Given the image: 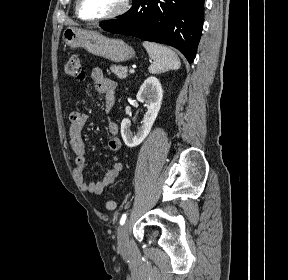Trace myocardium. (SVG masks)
I'll use <instances>...</instances> for the list:
<instances>
[{"label": "myocardium", "instance_id": "obj_1", "mask_svg": "<svg viewBox=\"0 0 288 280\" xmlns=\"http://www.w3.org/2000/svg\"><path fill=\"white\" fill-rule=\"evenodd\" d=\"M80 4H81V0H76L75 12H76L77 17L79 19H81L82 21H85V22L97 23V22H104V21L113 20V19H116V18L123 16L129 10L130 5H131V0H123L121 6L117 10H115L114 12H112L108 15L97 17V18L84 17L80 12Z\"/></svg>", "mask_w": 288, "mask_h": 280}]
</instances>
